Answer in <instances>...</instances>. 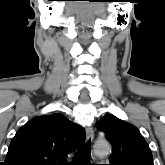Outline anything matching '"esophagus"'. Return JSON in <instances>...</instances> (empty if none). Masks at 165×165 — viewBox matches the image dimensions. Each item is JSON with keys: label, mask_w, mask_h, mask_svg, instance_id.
<instances>
[{"label": "esophagus", "mask_w": 165, "mask_h": 165, "mask_svg": "<svg viewBox=\"0 0 165 165\" xmlns=\"http://www.w3.org/2000/svg\"><path fill=\"white\" fill-rule=\"evenodd\" d=\"M93 138H94L93 128L90 126L86 127V139L87 140H93Z\"/></svg>", "instance_id": "1"}]
</instances>
